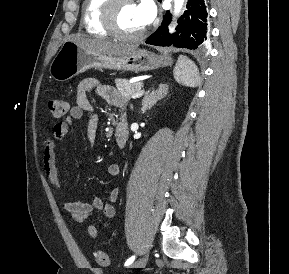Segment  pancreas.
I'll return each mask as SVG.
<instances>
[{
	"label": "pancreas",
	"mask_w": 289,
	"mask_h": 274,
	"mask_svg": "<svg viewBox=\"0 0 289 274\" xmlns=\"http://www.w3.org/2000/svg\"><path fill=\"white\" fill-rule=\"evenodd\" d=\"M118 92L122 97L130 98L133 94L141 90L143 83H129L127 79H117L115 81Z\"/></svg>",
	"instance_id": "obj_1"
}]
</instances>
